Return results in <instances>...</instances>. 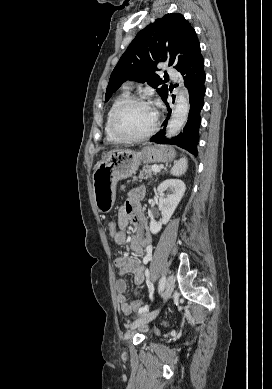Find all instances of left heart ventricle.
Instances as JSON below:
<instances>
[{
    "label": "left heart ventricle",
    "instance_id": "b2bd125f",
    "mask_svg": "<svg viewBox=\"0 0 272 389\" xmlns=\"http://www.w3.org/2000/svg\"><path fill=\"white\" fill-rule=\"evenodd\" d=\"M154 121L151 107L141 104L128 106L119 116L118 127L126 135L137 136L147 132Z\"/></svg>",
    "mask_w": 272,
    "mask_h": 389
}]
</instances>
